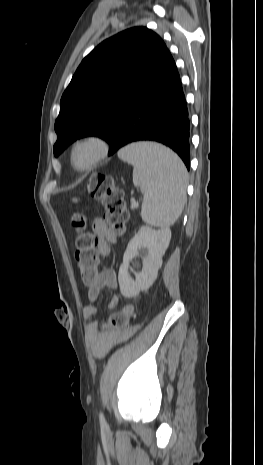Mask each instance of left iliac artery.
Listing matches in <instances>:
<instances>
[{
	"instance_id": "1",
	"label": "left iliac artery",
	"mask_w": 263,
	"mask_h": 465,
	"mask_svg": "<svg viewBox=\"0 0 263 465\" xmlns=\"http://www.w3.org/2000/svg\"><path fill=\"white\" fill-rule=\"evenodd\" d=\"M99 419H100V423H101L102 425H105V424H106V421H105L104 415H103L102 413H100V415H99Z\"/></svg>"
}]
</instances>
